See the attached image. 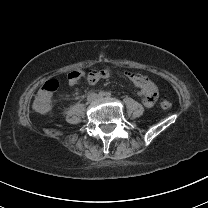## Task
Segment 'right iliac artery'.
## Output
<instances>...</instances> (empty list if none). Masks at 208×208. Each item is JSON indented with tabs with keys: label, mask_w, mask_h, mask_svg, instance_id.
<instances>
[{
	"label": "right iliac artery",
	"mask_w": 208,
	"mask_h": 208,
	"mask_svg": "<svg viewBox=\"0 0 208 208\" xmlns=\"http://www.w3.org/2000/svg\"><path fill=\"white\" fill-rule=\"evenodd\" d=\"M98 95H99L100 97H103V96H105V92H104V91H100V92L98 93Z\"/></svg>",
	"instance_id": "82829eb1"
}]
</instances>
